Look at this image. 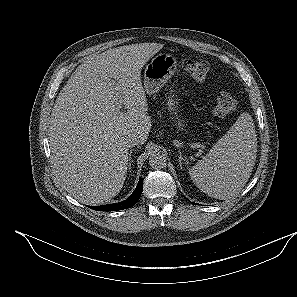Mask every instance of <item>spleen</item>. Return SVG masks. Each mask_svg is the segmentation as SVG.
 Instances as JSON below:
<instances>
[{
	"label": "spleen",
	"mask_w": 297,
	"mask_h": 297,
	"mask_svg": "<svg viewBox=\"0 0 297 297\" xmlns=\"http://www.w3.org/2000/svg\"><path fill=\"white\" fill-rule=\"evenodd\" d=\"M257 138L253 119L242 113L209 153L189 170L196 186L216 199L236 196L251 176Z\"/></svg>",
	"instance_id": "obj_1"
}]
</instances>
